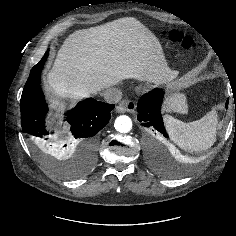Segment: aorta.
Returning <instances> with one entry per match:
<instances>
[{"mask_svg":"<svg viewBox=\"0 0 236 236\" xmlns=\"http://www.w3.org/2000/svg\"><path fill=\"white\" fill-rule=\"evenodd\" d=\"M114 127L120 133H128L132 129V120L126 115L118 116Z\"/></svg>","mask_w":236,"mask_h":236,"instance_id":"aorta-1","label":"aorta"}]
</instances>
